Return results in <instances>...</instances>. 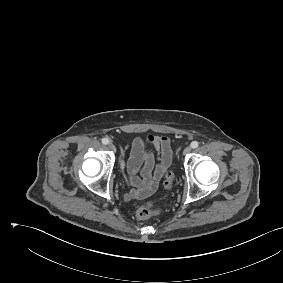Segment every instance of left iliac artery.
Segmentation results:
<instances>
[{"instance_id": "1", "label": "left iliac artery", "mask_w": 283, "mask_h": 283, "mask_svg": "<svg viewBox=\"0 0 283 283\" xmlns=\"http://www.w3.org/2000/svg\"><path fill=\"white\" fill-rule=\"evenodd\" d=\"M191 148L195 149L199 146V143L197 141H193L191 144H190Z\"/></svg>"}]
</instances>
